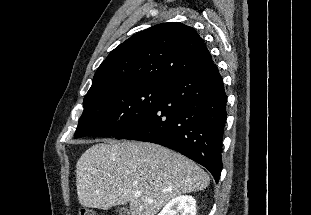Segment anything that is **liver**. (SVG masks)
Wrapping results in <instances>:
<instances>
[{
	"instance_id": "liver-1",
	"label": "liver",
	"mask_w": 311,
	"mask_h": 215,
	"mask_svg": "<svg viewBox=\"0 0 311 215\" xmlns=\"http://www.w3.org/2000/svg\"><path fill=\"white\" fill-rule=\"evenodd\" d=\"M209 175L189 158L146 142H104L76 164L79 203L108 210L129 203L131 215H155L171 199L205 189ZM139 191V197L134 192Z\"/></svg>"
}]
</instances>
